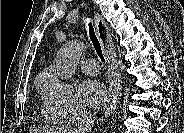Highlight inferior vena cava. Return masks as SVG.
I'll list each match as a JSON object with an SVG mask.
<instances>
[{
	"mask_svg": "<svg viewBox=\"0 0 184 133\" xmlns=\"http://www.w3.org/2000/svg\"><path fill=\"white\" fill-rule=\"evenodd\" d=\"M92 126L90 113L82 106L76 107V123L74 133H89Z\"/></svg>",
	"mask_w": 184,
	"mask_h": 133,
	"instance_id": "obj_1",
	"label": "inferior vena cava"
}]
</instances>
